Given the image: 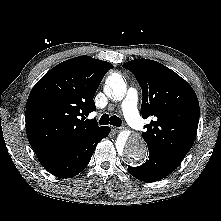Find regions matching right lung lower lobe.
<instances>
[{
  "instance_id": "98d812e1",
  "label": "right lung lower lobe",
  "mask_w": 221,
  "mask_h": 221,
  "mask_svg": "<svg viewBox=\"0 0 221 221\" xmlns=\"http://www.w3.org/2000/svg\"><path fill=\"white\" fill-rule=\"evenodd\" d=\"M110 132L104 127L96 134L48 157L39 159L44 168L60 178H71L88 165L97 144Z\"/></svg>"
}]
</instances>
